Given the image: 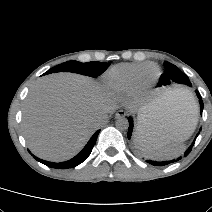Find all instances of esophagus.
I'll list each match as a JSON object with an SVG mask.
<instances>
[{
	"mask_svg": "<svg viewBox=\"0 0 212 212\" xmlns=\"http://www.w3.org/2000/svg\"><path fill=\"white\" fill-rule=\"evenodd\" d=\"M116 117H124L126 116V112L122 109L118 110L115 114Z\"/></svg>",
	"mask_w": 212,
	"mask_h": 212,
	"instance_id": "1",
	"label": "esophagus"
}]
</instances>
